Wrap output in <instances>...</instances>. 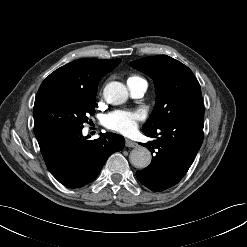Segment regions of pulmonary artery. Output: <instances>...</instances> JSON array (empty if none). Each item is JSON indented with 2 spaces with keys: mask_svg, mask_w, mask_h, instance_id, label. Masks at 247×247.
I'll use <instances>...</instances> for the list:
<instances>
[{
  "mask_svg": "<svg viewBox=\"0 0 247 247\" xmlns=\"http://www.w3.org/2000/svg\"><path fill=\"white\" fill-rule=\"evenodd\" d=\"M127 87L132 97L140 98L147 90V82L141 78L128 80Z\"/></svg>",
  "mask_w": 247,
  "mask_h": 247,
  "instance_id": "obj_1",
  "label": "pulmonary artery"
}]
</instances>
